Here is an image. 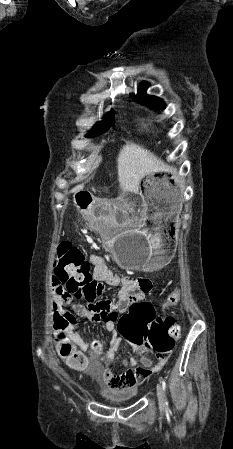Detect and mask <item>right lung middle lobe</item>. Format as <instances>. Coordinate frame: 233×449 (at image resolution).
<instances>
[{"label": "right lung middle lobe", "mask_w": 233, "mask_h": 449, "mask_svg": "<svg viewBox=\"0 0 233 449\" xmlns=\"http://www.w3.org/2000/svg\"><path fill=\"white\" fill-rule=\"evenodd\" d=\"M105 119L106 120L103 123H101V122L96 123L94 125L93 131L88 133L87 137H94L96 135L106 132L114 124V121H115L114 111L111 110L109 112V115L106 116Z\"/></svg>", "instance_id": "obj_1"}]
</instances>
